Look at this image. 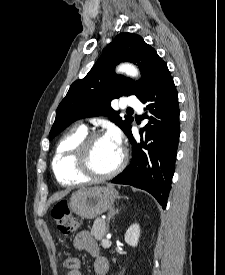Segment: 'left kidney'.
Here are the masks:
<instances>
[{
    "label": "left kidney",
    "mask_w": 225,
    "mask_h": 275,
    "mask_svg": "<svg viewBox=\"0 0 225 275\" xmlns=\"http://www.w3.org/2000/svg\"><path fill=\"white\" fill-rule=\"evenodd\" d=\"M140 237V227L138 224L131 225L125 233V242L132 246L136 247Z\"/></svg>",
    "instance_id": "obj_1"
}]
</instances>
